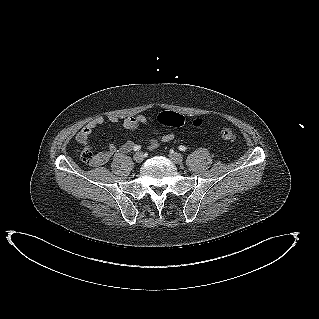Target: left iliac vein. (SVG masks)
Instances as JSON below:
<instances>
[{
	"instance_id": "obj_1",
	"label": "left iliac vein",
	"mask_w": 319,
	"mask_h": 319,
	"mask_svg": "<svg viewBox=\"0 0 319 319\" xmlns=\"http://www.w3.org/2000/svg\"><path fill=\"white\" fill-rule=\"evenodd\" d=\"M169 157L176 164H180L183 161V155L178 152L171 153Z\"/></svg>"
}]
</instances>
